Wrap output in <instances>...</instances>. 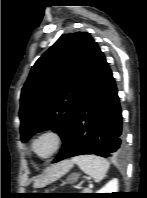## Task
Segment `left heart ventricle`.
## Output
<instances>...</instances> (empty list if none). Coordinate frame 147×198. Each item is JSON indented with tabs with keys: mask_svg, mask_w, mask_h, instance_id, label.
Segmentation results:
<instances>
[{
	"mask_svg": "<svg viewBox=\"0 0 147 198\" xmlns=\"http://www.w3.org/2000/svg\"><path fill=\"white\" fill-rule=\"evenodd\" d=\"M53 148V141L49 137L42 138L36 144V151L39 155H47Z\"/></svg>",
	"mask_w": 147,
	"mask_h": 198,
	"instance_id": "left-heart-ventricle-1",
	"label": "left heart ventricle"
}]
</instances>
